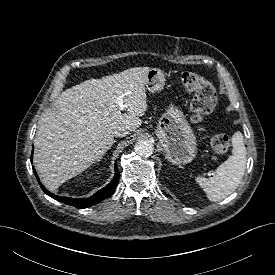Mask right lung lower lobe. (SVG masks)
Returning a JSON list of instances; mask_svg holds the SVG:
<instances>
[{
    "instance_id": "right-lung-lower-lobe-1",
    "label": "right lung lower lobe",
    "mask_w": 275,
    "mask_h": 275,
    "mask_svg": "<svg viewBox=\"0 0 275 275\" xmlns=\"http://www.w3.org/2000/svg\"><path fill=\"white\" fill-rule=\"evenodd\" d=\"M33 150L34 149H32L31 159L33 156ZM34 174H35L36 178L38 179V175L36 174L35 170H34ZM119 175L120 174H119V171L117 168V163L115 162V175H114L113 180L106 187L99 190L91 198L86 199V200L56 196V195L50 193L47 189H45V187L41 184V182L39 180H38V182H39L42 190L44 191V193H46L50 197L54 198L55 200H57L59 202H63L67 205L74 206L78 209H83V208H87L89 206L95 205L97 203H100L104 199L110 197L114 193L115 188L118 184Z\"/></svg>"
}]
</instances>
